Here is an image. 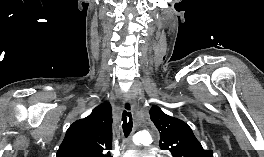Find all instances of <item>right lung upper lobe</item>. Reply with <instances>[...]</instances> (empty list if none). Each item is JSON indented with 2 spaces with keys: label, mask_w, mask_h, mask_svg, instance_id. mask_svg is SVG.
<instances>
[{
  "label": "right lung upper lobe",
  "mask_w": 264,
  "mask_h": 157,
  "mask_svg": "<svg viewBox=\"0 0 264 157\" xmlns=\"http://www.w3.org/2000/svg\"><path fill=\"white\" fill-rule=\"evenodd\" d=\"M111 106L105 102L67 130L56 157H111Z\"/></svg>",
  "instance_id": "cb5924a9"
}]
</instances>
